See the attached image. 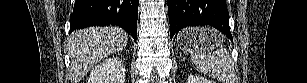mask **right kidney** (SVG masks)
Returning a JSON list of instances; mask_svg holds the SVG:
<instances>
[{"label":"right kidney","mask_w":307,"mask_h":83,"mask_svg":"<svg viewBox=\"0 0 307 83\" xmlns=\"http://www.w3.org/2000/svg\"><path fill=\"white\" fill-rule=\"evenodd\" d=\"M125 74L123 62L113 57L93 68L88 83H124Z\"/></svg>","instance_id":"obj_1"}]
</instances>
